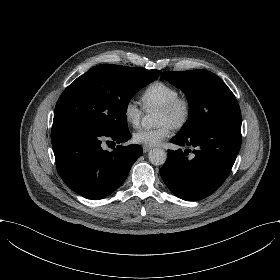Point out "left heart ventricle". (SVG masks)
Returning <instances> with one entry per match:
<instances>
[{
  "label": "left heart ventricle",
  "mask_w": 280,
  "mask_h": 280,
  "mask_svg": "<svg viewBox=\"0 0 280 280\" xmlns=\"http://www.w3.org/2000/svg\"><path fill=\"white\" fill-rule=\"evenodd\" d=\"M178 115H179V112H177V111L170 112V111H164V110L158 108L157 113H156V124L167 121L173 125L175 120L177 119Z\"/></svg>",
  "instance_id": "obj_1"
}]
</instances>
